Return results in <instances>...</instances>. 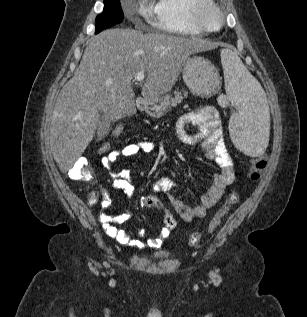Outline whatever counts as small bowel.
<instances>
[{"label": "small bowel", "mask_w": 307, "mask_h": 317, "mask_svg": "<svg viewBox=\"0 0 307 317\" xmlns=\"http://www.w3.org/2000/svg\"><path fill=\"white\" fill-rule=\"evenodd\" d=\"M188 125L198 126L199 131L196 134L188 133L186 130ZM174 137L184 145H201L207 158L214 161L220 168V171L213 178L211 187L202 196L201 203L193 208L186 206L174 195L173 190L176 182L169 176H162L153 183L152 192L165 193L181 219L188 222L195 218L204 217L208 210L221 199L225 189L235 180V168L223 139L222 123L219 112L215 107L202 106L194 112L183 114L176 123ZM158 149L159 145L155 142L139 141L113 150L101 158L102 167L107 170L112 178L113 188L123 190L129 202L134 195L131 175L128 171L112 172L113 164L121 158L131 157L140 153L151 154ZM101 194L103 201L98 218L107 235L121 244L138 248H159L162 245L163 240L169 235V230L163 229L159 235L149 238L145 243L137 240L132 234L126 233L115 225L129 221L132 217L131 212L126 211L117 216L109 215L108 208L112 203L111 198L103 189H101ZM97 197L98 195L93 193L90 196V202L95 203ZM145 201L146 197H142L140 201L142 207L146 205ZM139 236L143 237L144 232L140 231Z\"/></svg>", "instance_id": "c3829d8e"}]
</instances>
